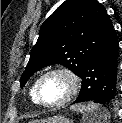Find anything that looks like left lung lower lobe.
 Wrapping results in <instances>:
<instances>
[{
	"mask_svg": "<svg viewBox=\"0 0 122 123\" xmlns=\"http://www.w3.org/2000/svg\"><path fill=\"white\" fill-rule=\"evenodd\" d=\"M118 49V40L115 31L112 30L92 54L80 74L82 88L73 104L86 101L103 104L115 100Z\"/></svg>",
	"mask_w": 122,
	"mask_h": 123,
	"instance_id": "left-lung-lower-lobe-1",
	"label": "left lung lower lobe"
}]
</instances>
